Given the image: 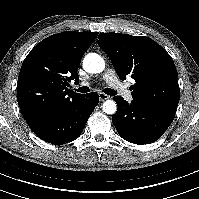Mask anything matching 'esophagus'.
I'll list each match as a JSON object with an SVG mask.
<instances>
[{
    "instance_id": "obj_1",
    "label": "esophagus",
    "mask_w": 199,
    "mask_h": 199,
    "mask_svg": "<svg viewBox=\"0 0 199 199\" xmlns=\"http://www.w3.org/2000/svg\"><path fill=\"white\" fill-rule=\"evenodd\" d=\"M98 95H99L100 101H105L110 98L107 94H105L103 92H99Z\"/></svg>"
}]
</instances>
